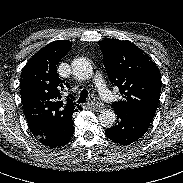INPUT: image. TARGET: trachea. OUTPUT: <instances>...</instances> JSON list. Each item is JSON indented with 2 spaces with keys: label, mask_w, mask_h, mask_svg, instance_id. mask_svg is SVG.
Listing matches in <instances>:
<instances>
[{
  "label": "trachea",
  "mask_w": 183,
  "mask_h": 183,
  "mask_svg": "<svg viewBox=\"0 0 183 183\" xmlns=\"http://www.w3.org/2000/svg\"><path fill=\"white\" fill-rule=\"evenodd\" d=\"M88 98V91L86 89H83L81 91L80 97L78 99V103H85L87 101Z\"/></svg>",
  "instance_id": "trachea-1"
}]
</instances>
